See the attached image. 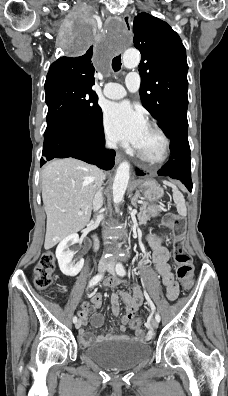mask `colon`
<instances>
[{"mask_svg":"<svg viewBox=\"0 0 228 396\" xmlns=\"http://www.w3.org/2000/svg\"><path fill=\"white\" fill-rule=\"evenodd\" d=\"M164 223L174 234V261L177 265V277L186 287H189L193 280L194 266L192 255L186 242V222L183 217L176 214H168ZM55 268V257L51 252H44L34 268V285L39 290H46L53 279ZM133 329H142L139 319L131 320Z\"/></svg>","mask_w":228,"mask_h":396,"instance_id":"obj_1","label":"colon"}]
</instances>
